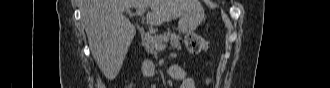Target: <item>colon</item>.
Instances as JSON below:
<instances>
[{
  "instance_id": "1",
  "label": "colon",
  "mask_w": 330,
  "mask_h": 88,
  "mask_svg": "<svg viewBox=\"0 0 330 88\" xmlns=\"http://www.w3.org/2000/svg\"><path fill=\"white\" fill-rule=\"evenodd\" d=\"M187 50L192 54H199L208 49L209 43L207 39L198 34H189L185 39Z\"/></svg>"
}]
</instances>
